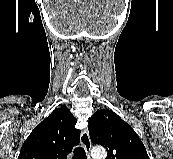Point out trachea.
Wrapping results in <instances>:
<instances>
[{
	"mask_svg": "<svg viewBox=\"0 0 173 159\" xmlns=\"http://www.w3.org/2000/svg\"><path fill=\"white\" fill-rule=\"evenodd\" d=\"M73 159H87L86 153L82 147L75 148Z\"/></svg>",
	"mask_w": 173,
	"mask_h": 159,
	"instance_id": "obj_1",
	"label": "trachea"
}]
</instances>
